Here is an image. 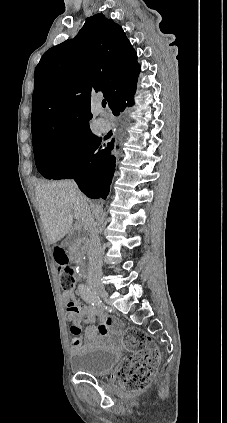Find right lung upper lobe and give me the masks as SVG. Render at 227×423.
I'll list each match as a JSON object with an SVG mask.
<instances>
[{
	"label": "right lung upper lobe",
	"instance_id": "cb5924a9",
	"mask_svg": "<svg viewBox=\"0 0 227 423\" xmlns=\"http://www.w3.org/2000/svg\"><path fill=\"white\" fill-rule=\"evenodd\" d=\"M139 72L123 29L103 14L88 18L75 38L50 48L35 69L32 142L91 133V92L102 91L111 108L134 95Z\"/></svg>",
	"mask_w": 227,
	"mask_h": 423
}]
</instances>
